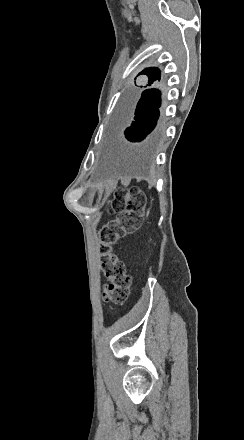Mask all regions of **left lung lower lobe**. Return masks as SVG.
<instances>
[{
	"instance_id": "1",
	"label": "left lung lower lobe",
	"mask_w": 244,
	"mask_h": 440,
	"mask_svg": "<svg viewBox=\"0 0 244 440\" xmlns=\"http://www.w3.org/2000/svg\"><path fill=\"white\" fill-rule=\"evenodd\" d=\"M152 86V85H147ZM146 87V86H144ZM134 101L130 102L124 110V121L131 125L126 128L124 135L131 142L142 141L156 126L159 117V107L161 104L160 91L157 89H146L142 92L136 109L134 111Z\"/></svg>"
}]
</instances>
